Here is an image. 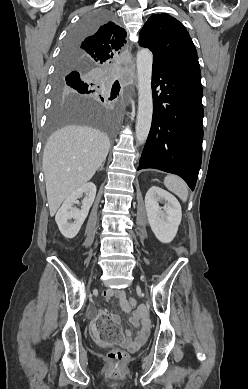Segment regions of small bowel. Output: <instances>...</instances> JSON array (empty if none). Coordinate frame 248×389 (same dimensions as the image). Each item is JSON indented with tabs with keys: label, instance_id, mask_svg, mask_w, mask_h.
Here are the masks:
<instances>
[{
	"label": "small bowel",
	"instance_id": "small-bowel-1",
	"mask_svg": "<svg viewBox=\"0 0 248 389\" xmlns=\"http://www.w3.org/2000/svg\"><path fill=\"white\" fill-rule=\"evenodd\" d=\"M103 295L106 299H110L113 297L119 299L122 308L127 312L130 311V309L127 307V300L125 297V292L123 290L109 289L105 291ZM110 317L115 322L119 321V317L115 314H111ZM130 322L132 325L138 328L139 331L137 336L134 337L132 331L127 329L125 331L124 339L119 340V343L130 350H134L137 349L146 340L150 328L145 318L144 311L142 309H138L132 314V316L130 317Z\"/></svg>",
	"mask_w": 248,
	"mask_h": 389
}]
</instances>
